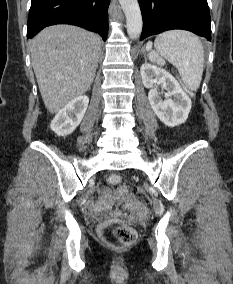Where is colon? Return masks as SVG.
I'll list each match as a JSON object with an SVG mask.
<instances>
[{
	"label": "colon",
	"instance_id": "1",
	"mask_svg": "<svg viewBox=\"0 0 233 284\" xmlns=\"http://www.w3.org/2000/svg\"><path fill=\"white\" fill-rule=\"evenodd\" d=\"M149 59L162 66L165 59L156 51L152 50L148 53ZM190 95L192 91L185 89ZM107 181L117 188V196L120 200L126 201L128 208L138 214L145 215L147 213L146 205L143 201L131 198L126 188L122 185V179L117 174H111L107 177ZM98 232L103 241L115 248H123L132 245L137 239L136 230L119 220H110L103 222L98 227Z\"/></svg>",
	"mask_w": 233,
	"mask_h": 284
}]
</instances>
